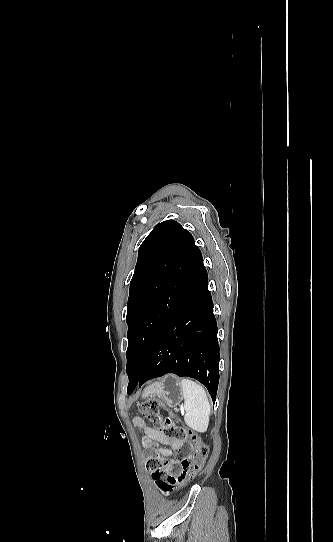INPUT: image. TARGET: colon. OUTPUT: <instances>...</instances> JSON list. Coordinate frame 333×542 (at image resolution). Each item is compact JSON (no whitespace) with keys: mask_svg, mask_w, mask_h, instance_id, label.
Wrapping results in <instances>:
<instances>
[{"mask_svg":"<svg viewBox=\"0 0 333 542\" xmlns=\"http://www.w3.org/2000/svg\"><path fill=\"white\" fill-rule=\"evenodd\" d=\"M161 403L158 399L150 398L143 401L139 410L141 415L151 422L157 431L163 433L165 439L171 442H181L183 449L174 451L177 464L167 457L149 459L147 470L156 479V487L164 496H168L176 487H183L191 475L203 467L208 448L201 442L198 434L184 424L176 422L174 415L160 413Z\"/></svg>","mask_w":333,"mask_h":542,"instance_id":"colon-1","label":"colon"}]
</instances>
